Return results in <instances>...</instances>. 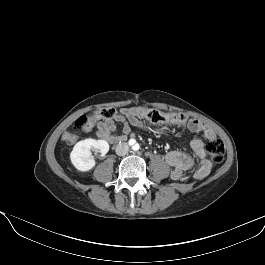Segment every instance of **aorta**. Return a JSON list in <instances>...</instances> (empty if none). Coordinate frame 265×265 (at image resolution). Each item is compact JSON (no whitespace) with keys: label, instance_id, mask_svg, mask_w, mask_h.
<instances>
[{"label":"aorta","instance_id":"aorta-1","mask_svg":"<svg viewBox=\"0 0 265 265\" xmlns=\"http://www.w3.org/2000/svg\"><path fill=\"white\" fill-rule=\"evenodd\" d=\"M137 145L138 144L136 143L135 140L131 141V146H132L133 149H136Z\"/></svg>","mask_w":265,"mask_h":265}]
</instances>
